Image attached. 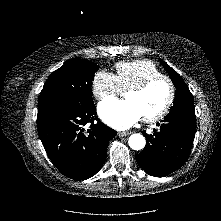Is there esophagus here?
I'll list each match as a JSON object with an SVG mask.
<instances>
[{
    "label": "esophagus",
    "mask_w": 221,
    "mask_h": 221,
    "mask_svg": "<svg viewBox=\"0 0 221 221\" xmlns=\"http://www.w3.org/2000/svg\"><path fill=\"white\" fill-rule=\"evenodd\" d=\"M129 134H130L129 132H118L119 137L128 136Z\"/></svg>",
    "instance_id": "1"
}]
</instances>
